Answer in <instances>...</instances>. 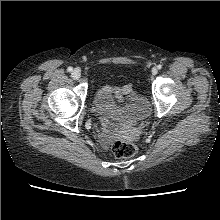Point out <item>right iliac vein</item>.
<instances>
[{
	"instance_id": "obj_1",
	"label": "right iliac vein",
	"mask_w": 220,
	"mask_h": 220,
	"mask_svg": "<svg viewBox=\"0 0 220 220\" xmlns=\"http://www.w3.org/2000/svg\"><path fill=\"white\" fill-rule=\"evenodd\" d=\"M81 76V71L79 68H75L73 71H72V77L74 79H79Z\"/></svg>"
}]
</instances>
